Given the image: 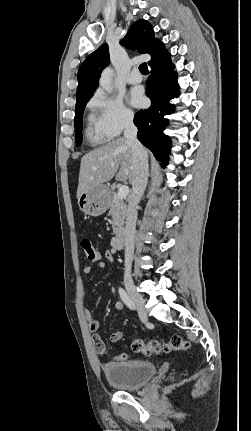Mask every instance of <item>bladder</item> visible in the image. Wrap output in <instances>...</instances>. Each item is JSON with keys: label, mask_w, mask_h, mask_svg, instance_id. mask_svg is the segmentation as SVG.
Listing matches in <instances>:
<instances>
[{"label": "bladder", "mask_w": 251, "mask_h": 431, "mask_svg": "<svg viewBox=\"0 0 251 431\" xmlns=\"http://www.w3.org/2000/svg\"><path fill=\"white\" fill-rule=\"evenodd\" d=\"M108 383L117 389L133 391L143 387L156 373L155 365L145 360H117L103 365Z\"/></svg>", "instance_id": "1"}]
</instances>
